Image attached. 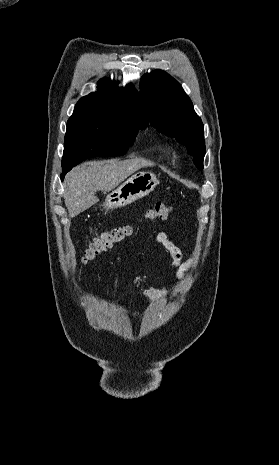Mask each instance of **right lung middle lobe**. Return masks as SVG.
Masks as SVG:
<instances>
[{"instance_id":"dd1d6c3e","label":"right lung middle lobe","mask_w":279,"mask_h":465,"mask_svg":"<svg viewBox=\"0 0 279 465\" xmlns=\"http://www.w3.org/2000/svg\"><path fill=\"white\" fill-rule=\"evenodd\" d=\"M140 128L143 127L131 121L68 128L62 158L63 171L72 169L87 158L124 155Z\"/></svg>"}]
</instances>
